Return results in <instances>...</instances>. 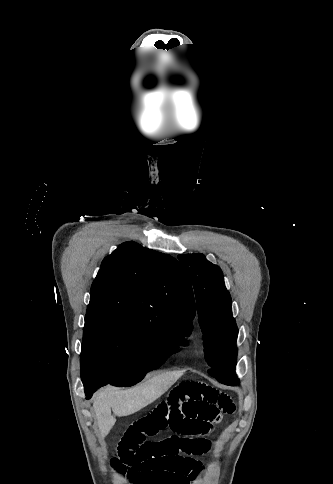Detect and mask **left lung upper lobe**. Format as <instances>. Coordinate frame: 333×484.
<instances>
[{
  "mask_svg": "<svg viewBox=\"0 0 333 484\" xmlns=\"http://www.w3.org/2000/svg\"><path fill=\"white\" fill-rule=\"evenodd\" d=\"M195 291L199 324L203 331L209 374L224 384H237L235 375L238 329L232 316L231 297L219 266L203 254L178 255Z\"/></svg>",
  "mask_w": 333,
  "mask_h": 484,
  "instance_id": "obj_1",
  "label": "left lung upper lobe"
}]
</instances>
